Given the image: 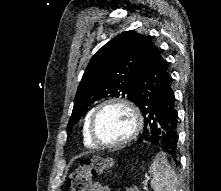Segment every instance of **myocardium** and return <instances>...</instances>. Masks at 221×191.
Wrapping results in <instances>:
<instances>
[{"mask_svg":"<svg viewBox=\"0 0 221 191\" xmlns=\"http://www.w3.org/2000/svg\"><path fill=\"white\" fill-rule=\"evenodd\" d=\"M109 106H121L125 108L131 114L132 119H133V126L131 129V132L123 140L116 142V143H105L101 141L97 137L96 130H95L96 120H97L99 113L101 112V110ZM142 127H143V118H142V114L139 108L133 102L127 99L120 98V97H113V98H109V99L102 101L93 109V112L91 114L90 121H89V135H90L91 140L98 147L107 148V149H118L134 141L139 135L140 131L142 130Z\"/></svg>","mask_w":221,"mask_h":191,"instance_id":"1","label":"myocardium"}]
</instances>
